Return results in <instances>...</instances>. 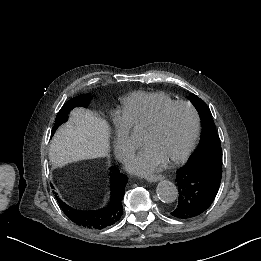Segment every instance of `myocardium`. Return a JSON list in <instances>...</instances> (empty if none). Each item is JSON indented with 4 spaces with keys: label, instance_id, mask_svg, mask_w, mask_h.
Returning a JSON list of instances; mask_svg holds the SVG:
<instances>
[{
    "label": "myocardium",
    "instance_id": "myocardium-1",
    "mask_svg": "<svg viewBox=\"0 0 261 261\" xmlns=\"http://www.w3.org/2000/svg\"><path fill=\"white\" fill-rule=\"evenodd\" d=\"M174 106L186 108L192 113V115L194 117V129H193L192 135H191L188 143L179 153L174 154V155H172L168 158L162 159L165 164H172V163L183 160L191 152V150L195 146V144H196V142L199 138V135H200V132H201V125H202V120H201V116H200L199 111L193 105H191L188 102L171 101V102L164 104L161 108H159L154 113H152L150 115H146V116H144V117H142L141 119L138 120V124H144V123L152 122L163 111H165L166 109H168L170 107H174Z\"/></svg>",
    "mask_w": 261,
    "mask_h": 261
}]
</instances>
